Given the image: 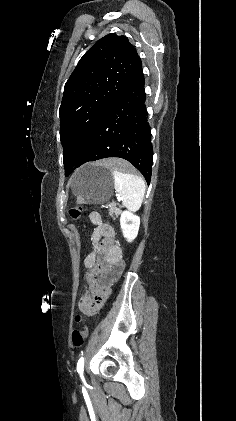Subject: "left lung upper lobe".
<instances>
[{"mask_svg": "<svg viewBox=\"0 0 236 421\" xmlns=\"http://www.w3.org/2000/svg\"><path fill=\"white\" fill-rule=\"evenodd\" d=\"M137 59L136 49L128 39L115 34L101 38L80 59L65 84L59 110L64 165H75Z\"/></svg>", "mask_w": 236, "mask_h": 421, "instance_id": "left-lung-upper-lobe-1", "label": "left lung upper lobe"}]
</instances>
